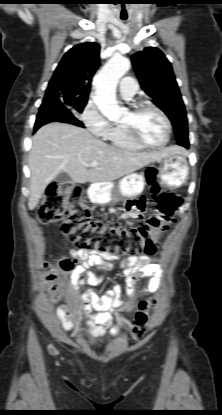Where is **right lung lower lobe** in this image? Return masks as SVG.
I'll return each instance as SVG.
<instances>
[{
  "label": "right lung lower lobe",
  "instance_id": "obj_1",
  "mask_svg": "<svg viewBox=\"0 0 222 415\" xmlns=\"http://www.w3.org/2000/svg\"><path fill=\"white\" fill-rule=\"evenodd\" d=\"M56 121L71 123L77 126L84 127L82 122L77 120L69 109H67L61 102L55 101L50 105L44 104L40 107L39 113L36 118L34 131H36L42 125Z\"/></svg>",
  "mask_w": 222,
  "mask_h": 415
}]
</instances>
